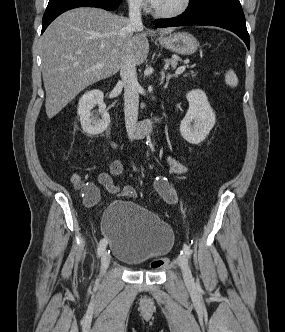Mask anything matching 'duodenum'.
<instances>
[{
  "mask_svg": "<svg viewBox=\"0 0 285 332\" xmlns=\"http://www.w3.org/2000/svg\"><path fill=\"white\" fill-rule=\"evenodd\" d=\"M159 121L158 118L145 120L137 125L134 130V135L137 138H144L151 134L154 130L155 124Z\"/></svg>",
  "mask_w": 285,
  "mask_h": 332,
  "instance_id": "1",
  "label": "duodenum"
}]
</instances>
